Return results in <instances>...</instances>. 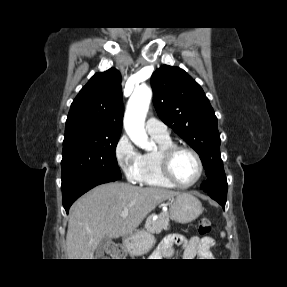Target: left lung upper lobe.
<instances>
[{
  "mask_svg": "<svg viewBox=\"0 0 287 287\" xmlns=\"http://www.w3.org/2000/svg\"><path fill=\"white\" fill-rule=\"evenodd\" d=\"M154 106L161 120L200 156L208 194L227 198V179L220 155L217 117L200 85L183 69L162 65L152 77Z\"/></svg>",
  "mask_w": 287,
  "mask_h": 287,
  "instance_id": "left-lung-upper-lobe-1",
  "label": "left lung upper lobe"
}]
</instances>
